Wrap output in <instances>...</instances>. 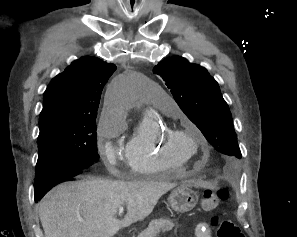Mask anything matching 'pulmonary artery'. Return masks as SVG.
Here are the masks:
<instances>
[{
    "instance_id": "pulmonary-artery-1",
    "label": "pulmonary artery",
    "mask_w": 297,
    "mask_h": 237,
    "mask_svg": "<svg viewBox=\"0 0 297 237\" xmlns=\"http://www.w3.org/2000/svg\"><path fill=\"white\" fill-rule=\"evenodd\" d=\"M158 104L160 107H165L171 111H175L177 109L176 103L169 96H163L158 100Z\"/></svg>"
}]
</instances>
